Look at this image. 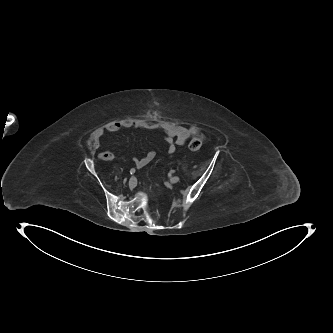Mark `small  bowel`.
<instances>
[{"mask_svg": "<svg viewBox=\"0 0 333 333\" xmlns=\"http://www.w3.org/2000/svg\"><path fill=\"white\" fill-rule=\"evenodd\" d=\"M135 128L145 131H160L164 135L167 145V152L174 153L177 146L184 145L191 137L203 138L200 130L195 126H183L169 121L150 122L142 119H123L112 121L105 128L97 129L92 138L91 148L98 150L101 146V139L106 132L115 133L121 129ZM156 156L154 150L147 151L142 157H134V163L141 168L150 163ZM98 158L102 161H110L115 158V154L110 151L98 153Z\"/></svg>", "mask_w": 333, "mask_h": 333, "instance_id": "small-bowel-1", "label": "small bowel"}]
</instances>
